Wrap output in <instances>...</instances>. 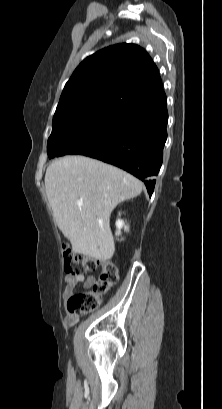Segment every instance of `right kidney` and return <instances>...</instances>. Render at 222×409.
Instances as JSON below:
<instances>
[{
  "label": "right kidney",
  "mask_w": 222,
  "mask_h": 409,
  "mask_svg": "<svg viewBox=\"0 0 222 409\" xmlns=\"http://www.w3.org/2000/svg\"><path fill=\"white\" fill-rule=\"evenodd\" d=\"M116 228H117V232L116 235H120L121 234V229L124 228L126 231L128 230V226L125 225L124 221L121 219H118L116 221Z\"/></svg>",
  "instance_id": "ca27d5eb"
}]
</instances>
